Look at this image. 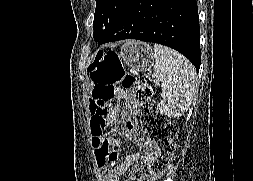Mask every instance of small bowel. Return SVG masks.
Wrapping results in <instances>:
<instances>
[{
  "mask_svg": "<svg viewBox=\"0 0 253 181\" xmlns=\"http://www.w3.org/2000/svg\"><path fill=\"white\" fill-rule=\"evenodd\" d=\"M132 91H120L114 100L123 101L124 108L132 110L134 102L132 101ZM91 110L93 106L90 102ZM122 114L119 106L109 108L108 115L103 121L94 116L91 117V144L94 148L95 160L101 173L102 181H151V176L147 171L148 163L156 156V146L149 140L133 130L134 120L125 114L123 130L125 135H130L132 139L141 146V152L131 153L125 156L123 162H117V152L115 147L119 145L118 139L106 136L108 130H112ZM141 160L139 163H137ZM132 166L129 177L122 180L129 167Z\"/></svg>",
  "mask_w": 253,
  "mask_h": 181,
  "instance_id": "1",
  "label": "small bowel"
}]
</instances>
